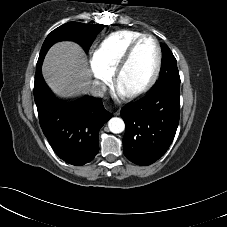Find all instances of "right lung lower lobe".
<instances>
[{
	"label": "right lung lower lobe",
	"mask_w": 227,
	"mask_h": 227,
	"mask_svg": "<svg viewBox=\"0 0 227 227\" xmlns=\"http://www.w3.org/2000/svg\"><path fill=\"white\" fill-rule=\"evenodd\" d=\"M41 65L36 66L34 99L43 133L62 160L75 166L84 165L97 155L99 130L112 115L101 98L60 102L47 87Z\"/></svg>",
	"instance_id": "98d812e1"
}]
</instances>
